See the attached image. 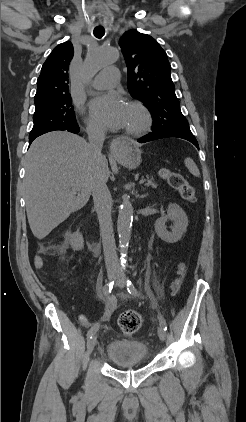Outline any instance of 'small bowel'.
Returning <instances> with one entry per match:
<instances>
[{
	"instance_id": "small-bowel-1",
	"label": "small bowel",
	"mask_w": 246,
	"mask_h": 422,
	"mask_svg": "<svg viewBox=\"0 0 246 422\" xmlns=\"http://www.w3.org/2000/svg\"><path fill=\"white\" fill-rule=\"evenodd\" d=\"M117 306V299L114 295H108L105 301V309L103 315L99 318L101 322L107 321L114 313ZM81 323L88 325L89 322L85 317H81Z\"/></svg>"
}]
</instances>
